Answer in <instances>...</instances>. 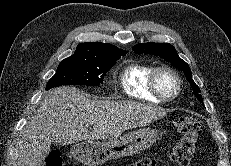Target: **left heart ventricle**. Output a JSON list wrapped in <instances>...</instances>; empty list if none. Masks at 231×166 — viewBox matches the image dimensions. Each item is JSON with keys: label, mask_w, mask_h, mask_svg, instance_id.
<instances>
[{"label": "left heart ventricle", "mask_w": 231, "mask_h": 166, "mask_svg": "<svg viewBox=\"0 0 231 166\" xmlns=\"http://www.w3.org/2000/svg\"><path fill=\"white\" fill-rule=\"evenodd\" d=\"M158 86L160 90L166 95L171 96L176 91V81L175 79L166 72H163L158 77Z\"/></svg>", "instance_id": "left-heart-ventricle-1"}]
</instances>
